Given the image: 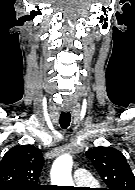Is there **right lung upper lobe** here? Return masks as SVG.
Masks as SVG:
<instances>
[{"instance_id": "obj_1", "label": "right lung upper lobe", "mask_w": 135, "mask_h": 190, "mask_svg": "<svg viewBox=\"0 0 135 190\" xmlns=\"http://www.w3.org/2000/svg\"><path fill=\"white\" fill-rule=\"evenodd\" d=\"M44 165L41 151L33 145L11 148L0 162V190H36Z\"/></svg>"}]
</instances>
